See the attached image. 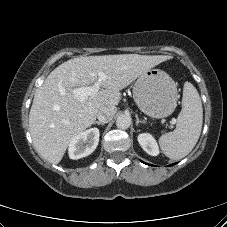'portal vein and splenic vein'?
Listing matches in <instances>:
<instances>
[{
	"label": "portal vein and splenic vein",
	"mask_w": 227,
	"mask_h": 227,
	"mask_svg": "<svg viewBox=\"0 0 227 227\" xmlns=\"http://www.w3.org/2000/svg\"><path fill=\"white\" fill-rule=\"evenodd\" d=\"M107 79V76L103 72L98 73V80L91 86L80 87L74 90V94L80 99L85 100L88 96L96 94L101 86L102 81ZM172 124L176 123L175 119H172Z\"/></svg>",
	"instance_id": "18ae733b"
}]
</instances>
